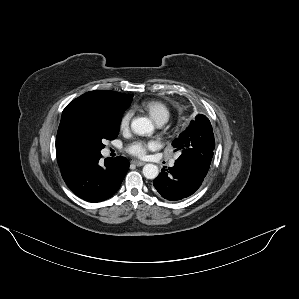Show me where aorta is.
Returning <instances> with one entry per match:
<instances>
[{
    "label": "aorta",
    "instance_id": "762f6f07",
    "mask_svg": "<svg viewBox=\"0 0 299 299\" xmlns=\"http://www.w3.org/2000/svg\"><path fill=\"white\" fill-rule=\"evenodd\" d=\"M132 131L137 135H152L154 132V126L152 122L145 117H139L131 123ZM143 175L147 179H155L159 174V169L154 164H146L143 167Z\"/></svg>",
    "mask_w": 299,
    "mask_h": 299
}]
</instances>
